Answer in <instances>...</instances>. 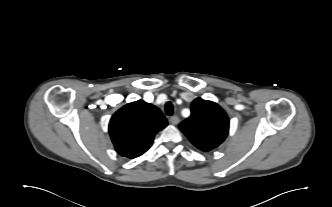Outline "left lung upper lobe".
I'll list each match as a JSON object with an SVG mask.
<instances>
[{"instance_id": "1", "label": "left lung upper lobe", "mask_w": 332, "mask_h": 207, "mask_svg": "<svg viewBox=\"0 0 332 207\" xmlns=\"http://www.w3.org/2000/svg\"><path fill=\"white\" fill-rule=\"evenodd\" d=\"M191 143L202 151L218 147L229 132V118L215 102L196 98L191 115L179 125Z\"/></svg>"}]
</instances>
